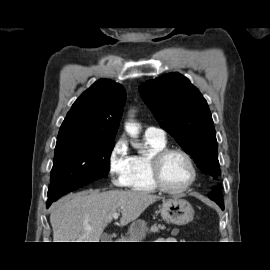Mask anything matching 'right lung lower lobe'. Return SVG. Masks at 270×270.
Instances as JSON below:
<instances>
[{
    "label": "right lung lower lobe",
    "instance_id": "1",
    "mask_svg": "<svg viewBox=\"0 0 270 270\" xmlns=\"http://www.w3.org/2000/svg\"><path fill=\"white\" fill-rule=\"evenodd\" d=\"M54 200H47L46 205L49 207ZM56 201V200H55Z\"/></svg>",
    "mask_w": 270,
    "mask_h": 270
}]
</instances>
